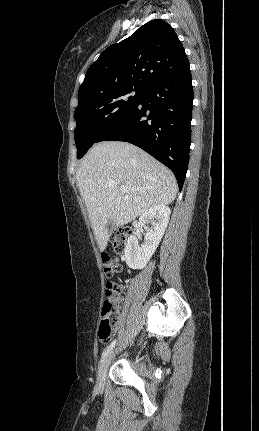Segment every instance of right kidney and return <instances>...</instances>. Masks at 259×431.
<instances>
[{
  "label": "right kidney",
  "mask_w": 259,
  "mask_h": 431,
  "mask_svg": "<svg viewBox=\"0 0 259 431\" xmlns=\"http://www.w3.org/2000/svg\"><path fill=\"white\" fill-rule=\"evenodd\" d=\"M170 208L157 205L145 211L139 218V225L146 229L144 243L140 246L136 236L127 240L124 254L125 261L131 269H143L158 247L170 218ZM151 223L150 228L146 224Z\"/></svg>",
  "instance_id": "right-kidney-1"
}]
</instances>
